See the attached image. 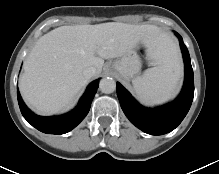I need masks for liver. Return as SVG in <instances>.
<instances>
[{
    "mask_svg": "<svg viewBox=\"0 0 219 174\" xmlns=\"http://www.w3.org/2000/svg\"><path fill=\"white\" fill-rule=\"evenodd\" d=\"M139 43L150 59L162 60L171 40L152 25L108 22L97 25L61 26L38 39L24 62L19 89L25 102L38 114L69 109L87 80L83 70L93 66L99 75L104 59L121 57Z\"/></svg>",
    "mask_w": 219,
    "mask_h": 174,
    "instance_id": "obj_1",
    "label": "liver"
}]
</instances>
